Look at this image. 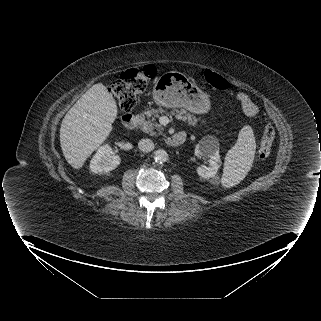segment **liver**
<instances>
[{
    "label": "liver",
    "mask_w": 321,
    "mask_h": 321,
    "mask_svg": "<svg viewBox=\"0 0 321 321\" xmlns=\"http://www.w3.org/2000/svg\"><path fill=\"white\" fill-rule=\"evenodd\" d=\"M116 101L97 83L84 93L62 120L60 144L66 161L80 169L110 135L117 118Z\"/></svg>",
    "instance_id": "liver-1"
}]
</instances>
